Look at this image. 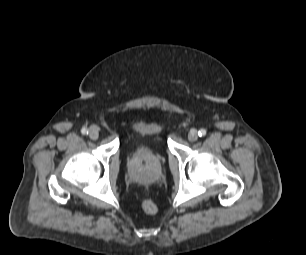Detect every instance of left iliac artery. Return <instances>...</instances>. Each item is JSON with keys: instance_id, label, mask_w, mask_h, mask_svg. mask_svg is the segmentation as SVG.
I'll use <instances>...</instances> for the list:
<instances>
[{"instance_id": "1", "label": "left iliac artery", "mask_w": 306, "mask_h": 255, "mask_svg": "<svg viewBox=\"0 0 306 255\" xmlns=\"http://www.w3.org/2000/svg\"><path fill=\"white\" fill-rule=\"evenodd\" d=\"M206 130L205 129H200L199 131H198V135L200 136V137H204L205 135H206Z\"/></svg>"}]
</instances>
